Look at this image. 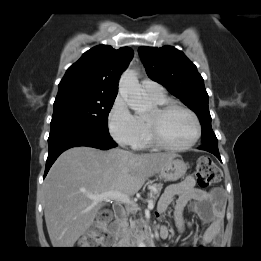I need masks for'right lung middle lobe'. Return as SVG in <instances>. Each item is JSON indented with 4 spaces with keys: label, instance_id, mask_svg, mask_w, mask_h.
<instances>
[{
    "label": "right lung middle lobe",
    "instance_id": "right-lung-middle-lobe-1",
    "mask_svg": "<svg viewBox=\"0 0 261 261\" xmlns=\"http://www.w3.org/2000/svg\"><path fill=\"white\" fill-rule=\"evenodd\" d=\"M116 97L58 94L54 102L51 132L69 128H93L109 133L108 114Z\"/></svg>",
    "mask_w": 261,
    "mask_h": 261
}]
</instances>
